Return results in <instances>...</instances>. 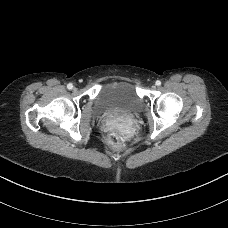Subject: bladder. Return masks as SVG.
Listing matches in <instances>:
<instances>
[{
    "instance_id": "31cf9c89",
    "label": "bladder",
    "mask_w": 228,
    "mask_h": 228,
    "mask_svg": "<svg viewBox=\"0 0 228 228\" xmlns=\"http://www.w3.org/2000/svg\"><path fill=\"white\" fill-rule=\"evenodd\" d=\"M141 99L134 86L125 80L108 83L99 92L94 109L96 113L109 111L132 112L139 108Z\"/></svg>"
}]
</instances>
